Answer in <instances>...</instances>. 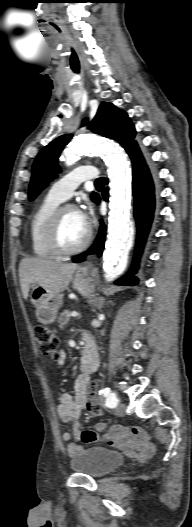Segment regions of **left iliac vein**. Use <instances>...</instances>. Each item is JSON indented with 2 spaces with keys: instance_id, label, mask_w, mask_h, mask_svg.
<instances>
[{
  "instance_id": "left-iliac-vein-1",
  "label": "left iliac vein",
  "mask_w": 192,
  "mask_h": 527,
  "mask_svg": "<svg viewBox=\"0 0 192 527\" xmlns=\"http://www.w3.org/2000/svg\"><path fill=\"white\" fill-rule=\"evenodd\" d=\"M114 412L118 416H124L125 413V405L123 403H118L117 406L114 409Z\"/></svg>"
}]
</instances>
